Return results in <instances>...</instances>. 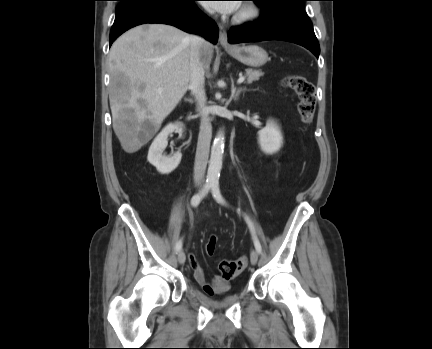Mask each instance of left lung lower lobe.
<instances>
[{
  "mask_svg": "<svg viewBox=\"0 0 432 349\" xmlns=\"http://www.w3.org/2000/svg\"><path fill=\"white\" fill-rule=\"evenodd\" d=\"M261 9V17L256 23L231 28L230 43L283 40L307 48L318 58L319 43L304 9L278 2Z\"/></svg>",
  "mask_w": 432,
  "mask_h": 349,
  "instance_id": "left-lung-lower-lobe-1",
  "label": "left lung lower lobe"
}]
</instances>
